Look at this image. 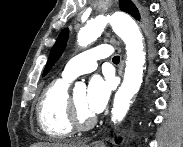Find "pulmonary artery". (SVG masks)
I'll return each instance as SVG.
<instances>
[{
    "instance_id": "e3ab8cb5",
    "label": "pulmonary artery",
    "mask_w": 183,
    "mask_h": 147,
    "mask_svg": "<svg viewBox=\"0 0 183 147\" xmlns=\"http://www.w3.org/2000/svg\"><path fill=\"white\" fill-rule=\"evenodd\" d=\"M112 53L113 48L108 44H101L83 51L69 60L62 72V77L72 81L79 75L90 73L97 68L99 59L107 58Z\"/></svg>"
}]
</instances>
